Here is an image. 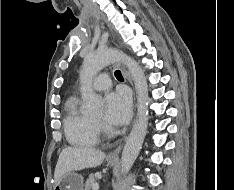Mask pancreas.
<instances>
[{
    "instance_id": "pancreas-1",
    "label": "pancreas",
    "mask_w": 234,
    "mask_h": 190,
    "mask_svg": "<svg viewBox=\"0 0 234 190\" xmlns=\"http://www.w3.org/2000/svg\"><path fill=\"white\" fill-rule=\"evenodd\" d=\"M97 175L90 174L86 183H85V190H90L94 184H96Z\"/></svg>"
}]
</instances>
